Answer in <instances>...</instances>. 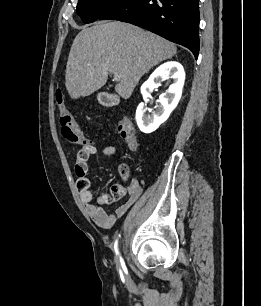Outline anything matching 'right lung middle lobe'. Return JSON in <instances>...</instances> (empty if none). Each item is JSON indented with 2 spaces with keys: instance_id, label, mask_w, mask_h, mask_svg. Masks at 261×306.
<instances>
[{
  "instance_id": "dd1d6c3e",
  "label": "right lung middle lobe",
  "mask_w": 261,
  "mask_h": 306,
  "mask_svg": "<svg viewBox=\"0 0 261 306\" xmlns=\"http://www.w3.org/2000/svg\"><path fill=\"white\" fill-rule=\"evenodd\" d=\"M120 0H78L77 14L84 23H91Z\"/></svg>"
}]
</instances>
